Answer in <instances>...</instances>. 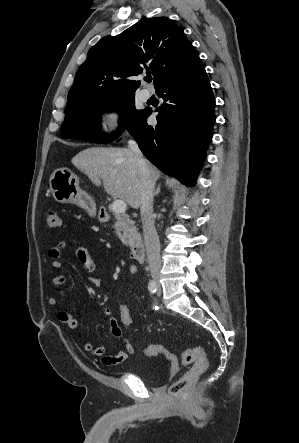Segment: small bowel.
Masks as SVG:
<instances>
[{
    "instance_id": "c3829d8e",
    "label": "small bowel",
    "mask_w": 299,
    "mask_h": 443,
    "mask_svg": "<svg viewBox=\"0 0 299 443\" xmlns=\"http://www.w3.org/2000/svg\"><path fill=\"white\" fill-rule=\"evenodd\" d=\"M66 246H67V242L61 241L57 245L50 248L48 251V256L52 260V263L50 266V272L54 275L53 286L55 289H57L59 294L62 296L65 295V291H63L62 287H63L66 279L63 275H61L59 273L60 269H61V263H60L59 259L61 257L62 251L65 249ZM70 246L72 248H74L75 253H76V257L79 260V262L83 265L85 271H87L88 273L94 272L96 269V265H95L94 261L92 260L88 249L86 247L82 246L81 244H79L76 240H72L70 242ZM134 271H135V268L134 267L131 268L130 272L134 273ZM87 280L89 281V283H91L94 286H99V284H100V279L97 277L88 276ZM48 302L51 306H54V307L59 306V298L55 295H51L48 299ZM104 313L109 318V324H110L112 334L115 337L123 340V342L125 344V350L119 351L115 355H107L104 347L94 345L92 342L87 341V340L83 341L82 348L84 349V351L98 357L100 359L101 363L104 365H107V366L119 365V364L123 363L124 361H126L129 355L134 354L135 348H134V345L128 339L123 337L122 329L119 325V320L113 314V312L109 308H106V309H104ZM56 317H57L58 321L65 324L69 329L75 330L78 328L77 319L73 315L68 313L67 311L59 309L57 311Z\"/></svg>"
}]
</instances>
